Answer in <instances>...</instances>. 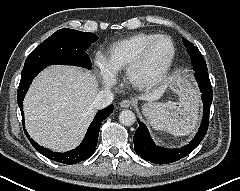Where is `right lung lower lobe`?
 I'll return each instance as SVG.
<instances>
[{"label": "right lung lower lobe", "mask_w": 240, "mask_h": 191, "mask_svg": "<svg viewBox=\"0 0 240 191\" xmlns=\"http://www.w3.org/2000/svg\"><path fill=\"white\" fill-rule=\"evenodd\" d=\"M45 67H37L33 69H29L26 71H22L21 80L17 91V102L18 106L21 110L22 121L24 125V116H23V100L25 94L27 93L30 84L32 83L33 78ZM113 112V105L106 107L103 110L97 112L94 120L88 128L86 136L83 142L76 148L71 151L65 153L53 152L47 148H44L38 145L32 138L29 137L28 133L24 129L28 139L32 146L38 150L45 157L54 160L56 162H60L63 164H76L83 160L89 158L96 149L97 140L99 136V128L101 122L108 117Z\"/></svg>", "instance_id": "right-lung-lower-lobe-1"}]
</instances>
